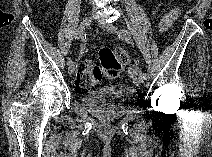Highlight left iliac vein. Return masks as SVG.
I'll use <instances>...</instances> for the list:
<instances>
[{"label":"left iliac vein","instance_id":"4c4485c4","mask_svg":"<svg viewBox=\"0 0 212 157\" xmlns=\"http://www.w3.org/2000/svg\"><path fill=\"white\" fill-rule=\"evenodd\" d=\"M99 26L101 28H103L104 30L108 31V32L118 33L117 28L113 24H111V23L101 22L100 21L99 22ZM138 80H139L140 83H144L145 82L144 73L143 72H140L139 73Z\"/></svg>","mask_w":212,"mask_h":157}]
</instances>
